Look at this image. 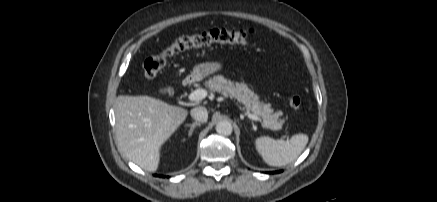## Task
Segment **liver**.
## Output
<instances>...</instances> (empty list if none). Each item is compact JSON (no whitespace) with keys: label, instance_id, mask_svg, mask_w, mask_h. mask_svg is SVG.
Here are the masks:
<instances>
[{"label":"liver","instance_id":"obj_1","mask_svg":"<svg viewBox=\"0 0 437 202\" xmlns=\"http://www.w3.org/2000/svg\"><path fill=\"white\" fill-rule=\"evenodd\" d=\"M114 111L120 150L150 172L158 168L161 146L188 115L184 108L149 96L119 95Z\"/></svg>","mask_w":437,"mask_h":202}]
</instances>
